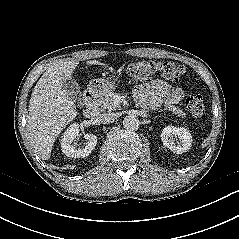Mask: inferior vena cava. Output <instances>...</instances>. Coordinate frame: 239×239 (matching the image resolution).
I'll list each match as a JSON object with an SVG mask.
<instances>
[{"label":"inferior vena cava","instance_id":"602c4592","mask_svg":"<svg viewBox=\"0 0 239 239\" xmlns=\"http://www.w3.org/2000/svg\"><path fill=\"white\" fill-rule=\"evenodd\" d=\"M117 114L114 112L103 113L99 115V121L104 124L112 123L116 120Z\"/></svg>","mask_w":239,"mask_h":239}]
</instances>
